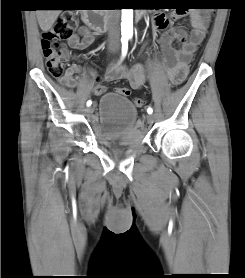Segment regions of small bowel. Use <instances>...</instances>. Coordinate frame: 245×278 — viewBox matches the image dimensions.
Returning <instances> with one entry per match:
<instances>
[{
	"label": "small bowel",
	"instance_id": "small-bowel-1",
	"mask_svg": "<svg viewBox=\"0 0 245 278\" xmlns=\"http://www.w3.org/2000/svg\"><path fill=\"white\" fill-rule=\"evenodd\" d=\"M183 12L177 11L173 14V18L177 19ZM192 30L188 33L183 28H174L165 32L160 39V47L164 56V64L167 75L170 80L175 78L183 79L189 72V66L193 59L194 53L198 46L203 42L206 35L207 12L201 9H194L190 13ZM154 25L157 29L163 30L168 27L169 20L162 14L154 16ZM95 41V36L90 32L87 26L79 29L77 34L71 35L67 39V45L74 50H85L89 48ZM174 42L181 44L180 49L173 47ZM82 73V68L78 64L70 65L65 72L63 84L67 87H75L78 85ZM109 79L124 78L130 82L133 89H140L145 80V68L141 64H137L131 68H127L121 63L114 64L108 72ZM94 92L97 95L105 93L103 86H96Z\"/></svg>",
	"mask_w": 245,
	"mask_h": 278
}]
</instances>
